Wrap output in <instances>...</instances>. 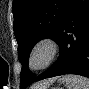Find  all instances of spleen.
<instances>
[{
  "mask_svg": "<svg viewBox=\"0 0 89 89\" xmlns=\"http://www.w3.org/2000/svg\"><path fill=\"white\" fill-rule=\"evenodd\" d=\"M66 89H89V80L80 75H65L60 79Z\"/></svg>",
  "mask_w": 89,
  "mask_h": 89,
  "instance_id": "3e777b00",
  "label": "spleen"
}]
</instances>
